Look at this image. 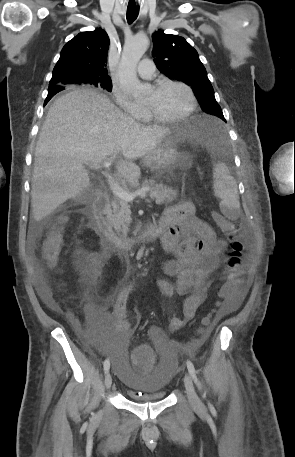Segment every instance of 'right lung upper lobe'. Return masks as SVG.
<instances>
[{
    "instance_id": "right-lung-upper-lobe-1",
    "label": "right lung upper lobe",
    "mask_w": 295,
    "mask_h": 457,
    "mask_svg": "<svg viewBox=\"0 0 295 457\" xmlns=\"http://www.w3.org/2000/svg\"><path fill=\"white\" fill-rule=\"evenodd\" d=\"M109 42L107 33L101 28L79 33L61 50L49 87L111 80L106 68Z\"/></svg>"
}]
</instances>
